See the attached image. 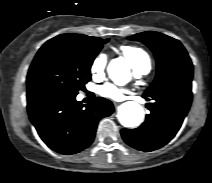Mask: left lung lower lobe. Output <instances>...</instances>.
I'll use <instances>...</instances> for the list:
<instances>
[{
  "mask_svg": "<svg viewBox=\"0 0 212 183\" xmlns=\"http://www.w3.org/2000/svg\"><path fill=\"white\" fill-rule=\"evenodd\" d=\"M151 97L150 114L136 129H122L124 141L141 151H153L166 145L178 132L192 102L191 84L171 86L143 98Z\"/></svg>",
  "mask_w": 212,
  "mask_h": 183,
  "instance_id": "1",
  "label": "left lung lower lobe"
}]
</instances>
